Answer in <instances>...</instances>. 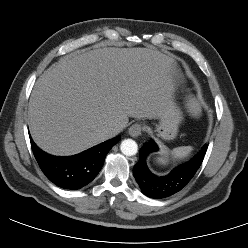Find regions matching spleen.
<instances>
[{"instance_id":"1","label":"spleen","mask_w":248,"mask_h":248,"mask_svg":"<svg viewBox=\"0 0 248 248\" xmlns=\"http://www.w3.org/2000/svg\"><path fill=\"white\" fill-rule=\"evenodd\" d=\"M193 148L191 146H181L173 149L169 154H164L156 158V161L159 164L166 165L170 159L172 160H181L188 157Z\"/></svg>"}]
</instances>
